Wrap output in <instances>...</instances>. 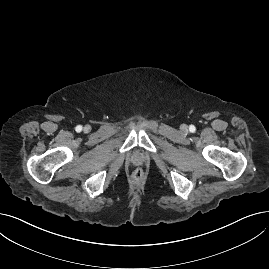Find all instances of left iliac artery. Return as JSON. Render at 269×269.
<instances>
[{
	"label": "left iliac artery",
	"mask_w": 269,
	"mask_h": 269,
	"mask_svg": "<svg viewBox=\"0 0 269 269\" xmlns=\"http://www.w3.org/2000/svg\"><path fill=\"white\" fill-rule=\"evenodd\" d=\"M189 130L190 132H195L196 128L194 125H190Z\"/></svg>",
	"instance_id": "44dca946"
}]
</instances>
